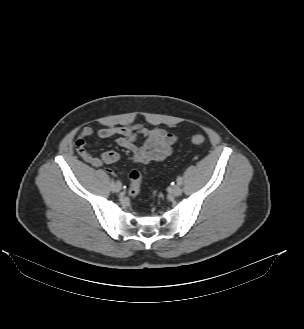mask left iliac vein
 Segmentation results:
<instances>
[{"instance_id": "left-iliac-vein-1", "label": "left iliac vein", "mask_w": 304, "mask_h": 329, "mask_svg": "<svg viewBox=\"0 0 304 329\" xmlns=\"http://www.w3.org/2000/svg\"><path fill=\"white\" fill-rule=\"evenodd\" d=\"M182 193V189L179 184L174 185L171 189V194L174 196H179Z\"/></svg>"}]
</instances>
